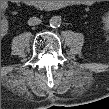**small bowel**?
I'll list each match as a JSON object with an SVG mask.
<instances>
[{
	"mask_svg": "<svg viewBox=\"0 0 109 109\" xmlns=\"http://www.w3.org/2000/svg\"><path fill=\"white\" fill-rule=\"evenodd\" d=\"M86 4H87V5H91L92 2H91V1H87Z\"/></svg>",
	"mask_w": 109,
	"mask_h": 109,
	"instance_id": "1",
	"label": "small bowel"
}]
</instances>
